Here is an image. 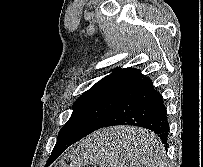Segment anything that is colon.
Wrapping results in <instances>:
<instances>
[{
	"mask_svg": "<svg viewBox=\"0 0 203 167\" xmlns=\"http://www.w3.org/2000/svg\"><path fill=\"white\" fill-rule=\"evenodd\" d=\"M56 167H95L93 164L81 159L74 153L65 155Z\"/></svg>",
	"mask_w": 203,
	"mask_h": 167,
	"instance_id": "5ec220e1",
	"label": "colon"
}]
</instances>
